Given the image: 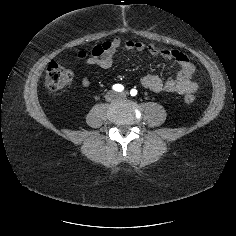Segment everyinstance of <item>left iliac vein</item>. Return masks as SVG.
Segmentation results:
<instances>
[{"label":"left iliac vein","mask_w":236,"mask_h":236,"mask_svg":"<svg viewBox=\"0 0 236 236\" xmlns=\"http://www.w3.org/2000/svg\"><path fill=\"white\" fill-rule=\"evenodd\" d=\"M119 97H120V98H125V97H126V93H125V92L120 93V94H119Z\"/></svg>","instance_id":"obj_1"}]
</instances>
